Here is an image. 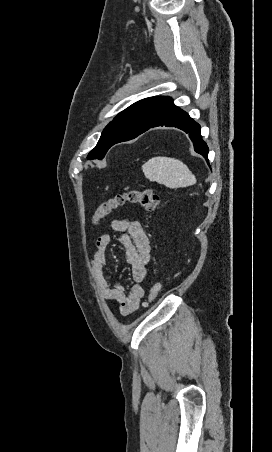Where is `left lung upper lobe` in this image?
<instances>
[{
    "label": "left lung upper lobe",
    "instance_id": "obj_1",
    "mask_svg": "<svg viewBox=\"0 0 272 452\" xmlns=\"http://www.w3.org/2000/svg\"><path fill=\"white\" fill-rule=\"evenodd\" d=\"M170 100V97L165 96L149 97L129 106L105 127L87 158L102 159L118 141L131 139L146 131Z\"/></svg>",
    "mask_w": 272,
    "mask_h": 452
}]
</instances>
